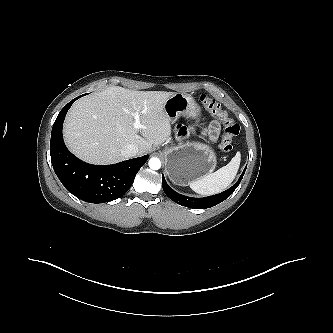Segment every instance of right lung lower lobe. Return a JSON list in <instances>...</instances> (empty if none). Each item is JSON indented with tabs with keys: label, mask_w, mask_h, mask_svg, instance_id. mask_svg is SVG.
I'll use <instances>...</instances> for the list:
<instances>
[{
	"label": "right lung lower lobe",
	"mask_w": 333,
	"mask_h": 333,
	"mask_svg": "<svg viewBox=\"0 0 333 333\" xmlns=\"http://www.w3.org/2000/svg\"><path fill=\"white\" fill-rule=\"evenodd\" d=\"M80 97L69 102L53 124L50 141L52 165L64 187L77 198L89 203L110 202L130 189L149 155L112 165H91L70 153L63 141L62 126L67 111Z\"/></svg>",
	"instance_id": "98d812e1"
}]
</instances>
